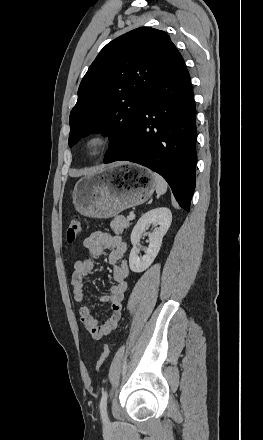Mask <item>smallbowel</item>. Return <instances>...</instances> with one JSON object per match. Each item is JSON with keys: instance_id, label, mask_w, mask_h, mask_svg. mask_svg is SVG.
<instances>
[{"instance_id": "obj_1", "label": "small bowel", "mask_w": 263, "mask_h": 440, "mask_svg": "<svg viewBox=\"0 0 263 440\" xmlns=\"http://www.w3.org/2000/svg\"><path fill=\"white\" fill-rule=\"evenodd\" d=\"M82 246L93 257H101L109 250L107 260L113 268L114 284L110 287L109 293L100 298L102 303L110 305L107 320L99 323L88 306H81L79 308L80 320L85 329L93 339L98 340L114 331L121 318L122 302L127 290V278L129 276L126 260L127 245L120 236H113L103 231H95L83 239ZM95 267L96 265L92 258H82L76 261L71 280L75 302L84 301L86 297V279Z\"/></svg>"}]
</instances>
